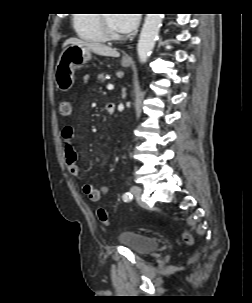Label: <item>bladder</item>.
Instances as JSON below:
<instances>
[{
    "instance_id": "1",
    "label": "bladder",
    "mask_w": 252,
    "mask_h": 303,
    "mask_svg": "<svg viewBox=\"0 0 252 303\" xmlns=\"http://www.w3.org/2000/svg\"><path fill=\"white\" fill-rule=\"evenodd\" d=\"M118 240L138 255L149 254L159 247L157 239L135 231H125Z\"/></svg>"
}]
</instances>
